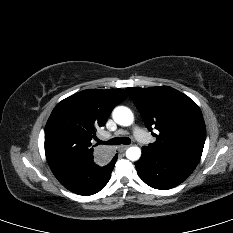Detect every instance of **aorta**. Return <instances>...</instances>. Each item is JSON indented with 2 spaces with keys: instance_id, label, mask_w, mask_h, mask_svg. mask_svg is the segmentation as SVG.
I'll return each instance as SVG.
<instances>
[{
  "instance_id": "obj_1",
  "label": "aorta",
  "mask_w": 233,
  "mask_h": 233,
  "mask_svg": "<svg viewBox=\"0 0 233 233\" xmlns=\"http://www.w3.org/2000/svg\"><path fill=\"white\" fill-rule=\"evenodd\" d=\"M114 121L121 126H130L134 121L132 111L125 106H118L112 112ZM126 157L131 161H137L141 157V149L137 146L126 150Z\"/></svg>"
}]
</instances>
